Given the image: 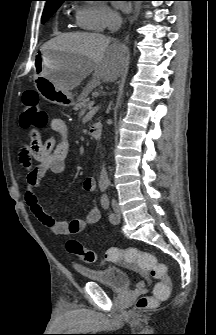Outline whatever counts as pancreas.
Masks as SVG:
<instances>
[{
    "mask_svg": "<svg viewBox=\"0 0 216 335\" xmlns=\"http://www.w3.org/2000/svg\"><path fill=\"white\" fill-rule=\"evenodd\" d=\"M88 94L89 91H84L77 99V103L74 106V110L78 111L88 107Z\"/></svg>",
    "mask_w": 216,
    "mask_h": 335,
    "instance_id": "pancreas-1",
    "label": "pancreas"
}]
</instances>
